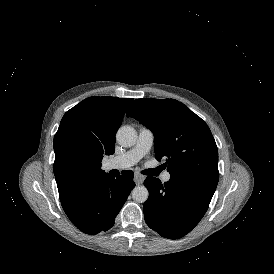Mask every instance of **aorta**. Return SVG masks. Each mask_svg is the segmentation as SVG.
<instances>
[{
	"instance_id": "762f6f07",
	"label": "aorta",
	"mask_w": 274,
	"mask_h": 274,
	"mask_svg": "<svg viewBox=\"0 0 274 274\" xmlns=\"http://www.w3.org/2000/svg\"><path fill=\"white\" fill-rule=\"evenodd\" d=\"M116 139L121 146L131 147L137 140L136 130L131 126H122L117 131ZM131 194L132 198L139 203H144L149 197V192L145 186L135 187Z\"/></svg>"
}]
</instances>
